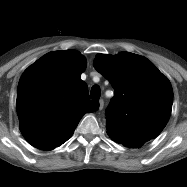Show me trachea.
<instances>
[{"mask_svg": "<svg viewBox=\"0 0 187 187\" xmlns=\"http://www.w3.org/2000/svg\"><path fill=\"white\" fill-rule=\"evenodd\" d=\"M90 98L91 99H99L100 98V87L98 85H94L91 88Z\"/></svg>", "mask_w": 187, "mask_h": 187, "instance_id": "1", "label": "trachea"}]
</instances>
